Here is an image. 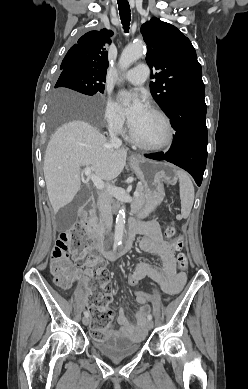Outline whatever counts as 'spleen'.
<instances>
[{
	"label": "spleen",
	"instance_id": "spleen-1",
	"mask_svg": "<svg viewBox=\"0 0 248 389\" xmlns=\"http://www.w3.org/2000/svg\"><path fill=\"white\" fill-rule=\"evenodd\" d=\"M176 174L179 179L181 215L183 218H187L190 215L194 202V186L187 173L178 170Z\"/></svg>",
	"mask_w": 248,
	"mask_h": 389
}]
</instances>
